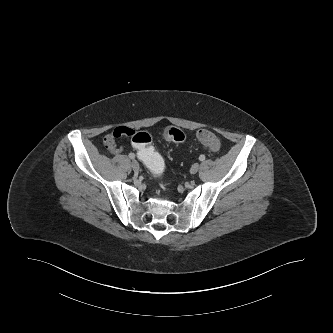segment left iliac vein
Wrapping results in <instances>:
<instances>
[{
    "mask_svg": "<svg viewBox=\"0 0 333 333\" xmlns=\"http://www.w3.org/2000/svg\"><path fill=\"white\" fill-rule=\"evenodd\" d=\"M199 167L200 166H199L198 163L193 164L192 167H191V169H190L191 174H196L198 172V170H199Z\"/></svg>",
    "mask_w": 333,
    "mask_h": 333,
    "instance_id": "1",
    "label": "left iliac vein"
}]
</instances>
